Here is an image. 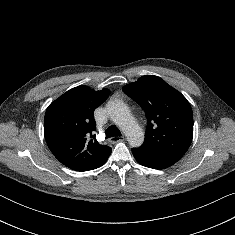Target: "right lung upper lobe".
I'll return each instance as SVG.
<instances>
[{
  "label": "right lung upper lobe",
  "instance_id": "right-lung-upper-lobe-1",
  "mask_svg": "<svg viewBox=\"0 0 235 235\" xmlns=\"http://www.w3.org/2000/svg\"><path fill=\"white\" fill-rule=\"evenodd\" d=\"M110 91L75 87L52 102L44 117V136L53 155L65 166L88 171L97 168L111 153L94 138V110Z\"/></svg>",
  "mask_w": 235,
  "mask_h": 235
}]
</instances>
